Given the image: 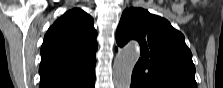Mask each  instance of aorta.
Returning <instances> with one entry per match:
<instances>
[{"mask_svg": "<svg viewBox=\"0 0 223 88\" xmlns=\"http://www.w3.org/2000/svg\"><path fill=\"white\" fill-rule=\"evenodd\" d=\"M140 57V47L130 42L116 55L113 64V82L116 88H129L132 71Z\"/></svg>", "mask_w": 223, "mask_h": 88, "instance_id": "aorta-1", "label": "aorta"}]
</instances>
